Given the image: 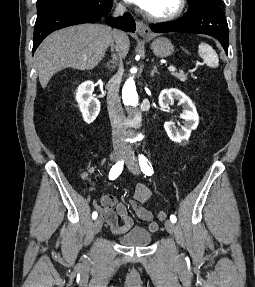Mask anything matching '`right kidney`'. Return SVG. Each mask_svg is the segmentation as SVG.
Masks as SVG:
<instances>
[{"label":"right kidney","mask_w":255,"mask_h":287,"mask_svg":"<svg viewBox=\"0 0 255 287\" xmlns=\"http://www.w3.org/2000/svg\"><path fill=\"white\" fill-rule=\"evenodd\" d=\"M93 92V82H84V84H80L76 92V100L86 124L94 122L100 112V102L97 98H94Z\"/></svg>","instance_id":"ca27d5eb"}]
</instances>
